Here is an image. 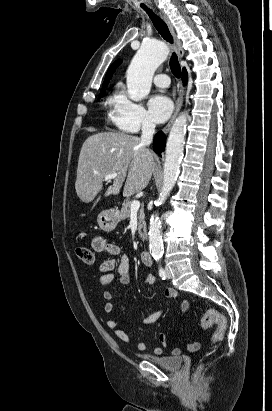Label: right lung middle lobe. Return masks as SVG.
I'll return each instance as SVG.
<instances>
[{
  "label": "right lung middle lobe",
  "mask_w": 272,
  "mask_h": 411,
  "mask_svg": "<svg viewBox=\"0 0 272 411\" xmlns=\"http://www.w3.org/2000/svg\"><path fill=\"white\" fill-rule=\"evenodd\" d=\"M104 94H105V89L101 91L100 96H99V99H100L101 97H103Z\"/></svg>",
  "instance_id": "obj_1"
}]
</instances>
